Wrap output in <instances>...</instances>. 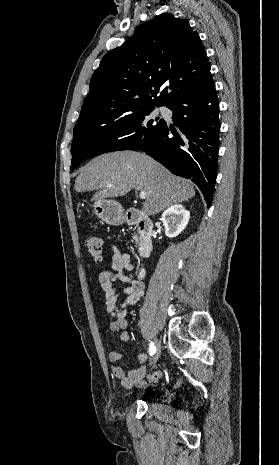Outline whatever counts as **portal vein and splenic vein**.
<instances>
[{
	"label": "portal vein and splenic vein",
	"instance_id": "portal-vein-and-splenic-vein-1",
	"mask_svg": "<svg viewBox=\"0 0 279 465\" xmlns=\"http://www.w3.org/2000/svg\"><path fill=\"white\" fill-rule=\"evenodd\" d=\"M108 186L110 187L111 184H109ZM139 197H140V199H143V200L146 199V192H143V191L140 192Z\"/></svg>",
	"mask_w": 279,
	"mask_h": 465
}]
</instances>
